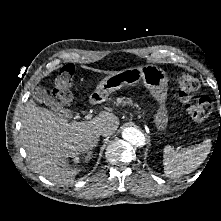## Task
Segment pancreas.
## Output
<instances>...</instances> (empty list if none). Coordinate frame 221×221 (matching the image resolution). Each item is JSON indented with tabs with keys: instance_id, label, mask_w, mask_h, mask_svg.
Masks as SVG:
<instances>
[{
	"instance_id": "1",
	"label": "pancreas",
	"mask_w": 221,
	"mask_h": 221,
	"mask_svg": "<svg viewBox=\"0 0 221 221\" xmlns=\"http://www.w3.org/2000/svg\"><path fill=\"white\" fill-rule=\"evenodd\" d=\"M133 105L132 101L130 99L125 100V98H117V102L116 105ZM136 107H138V105H135Z\"/></svg>"
}]
</instances>
